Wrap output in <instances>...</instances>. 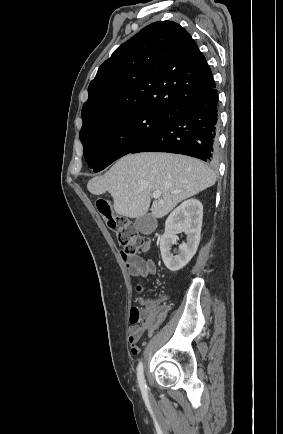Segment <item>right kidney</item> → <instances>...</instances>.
<instances>
[{
	"label": "right kidney",
	"instance_id": "right-kidney-1",
	"mask_svg": "<svg viewBox=\"0 0 283 434\" xmlns=\"http://www.w3.org/2000/svg\"><path fill=\"white\" fill-rule=\"evenodd\" d=\"M203 206L199 200L189 199L180 204L167 218L165 233L160 240V251L165 266L172 272L182 269L195 255L202 227ZM187 235L186 243L179 246L173 255L172 246L176 244L178 232Z\"/></svg>",
	"mask_w": 283,
	"mask_h": 434
}]
</instances>
